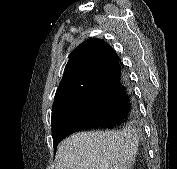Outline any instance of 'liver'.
<instances>
[{"instance_id": "obj_1", "label": "liver", "mask_w": 177, "mask_h": 169, "mask_svg": "<svg viewBox=\"0 0 177 169\" xmlns=\"http://www.w3.org/2000/svg\"><path fill=\"white\" fill-rule=\"evenodd\" d=\"M137 149L130 129L80 132L59 144L55 169H130Z\"/></svg>"}]
</instances>
